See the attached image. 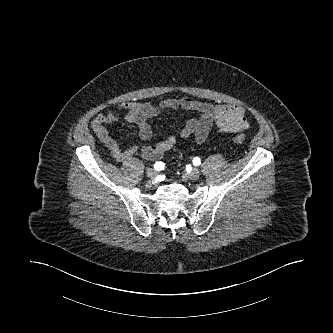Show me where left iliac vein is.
<instances>
[{"instance_id": "4c4485c4", "label": "left iliac vein", "mask_w": 333, "mask_h": 333, "mask_svg": "<svg viewBox=\"0 0 333 333\" xmlns=\"http://www.w3.org/2000/svg\"><path fill=\"white\" fill-rule=\"evenodd\" d=\"M187 177L190 179V180H197L200 178V172L198 169L194 168L191 170L190 173L187 174Z\"/></svg>"}]
</instances>
